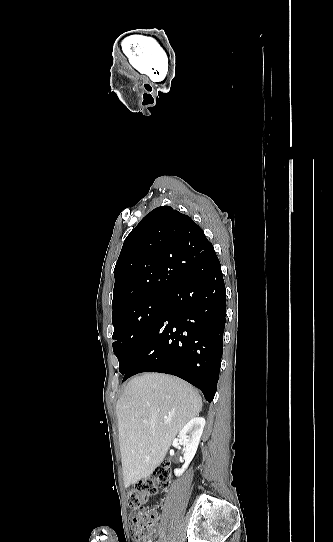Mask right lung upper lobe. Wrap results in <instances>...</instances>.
<instances>
[{"mask_svg":"<svg viewBox=\"0 0 333 542\" xmlns=\"http://www.w3.org/2000/svg\"><path fill=\"white\" fill-rule=\"evenodd\" d=\"M211 244L187 215L169 206L155 208L124 241L114 276L112 316L122 309L168 293L184 273L168 260L174 251H191Z\"/></svg>","mask_w":333,"mask_h":542,"instance_id":"1","label":"right lung upper lobe"}]
</instances>
